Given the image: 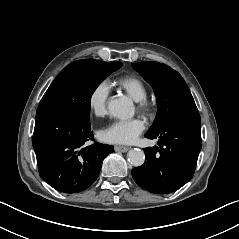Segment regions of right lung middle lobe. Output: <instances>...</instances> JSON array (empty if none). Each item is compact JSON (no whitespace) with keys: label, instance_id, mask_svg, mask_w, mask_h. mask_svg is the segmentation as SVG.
Returning a JSON list of instances; mask_svg holds the SVG:
<instances>
[{"label":"right lung middle lobe","instance_id":"obj_1","mask_svg":"<svg viewBox=\"0 0 239 239\" xmlns=\"http://www.w3.org/2000/svg\"><path fill=\"white\" fill-rule=\"evenodd\" d=\"M121 66V62L106 63L95 59L69 64L44 94L36 114L63 108L74 110L88 119L92 94L108 75Z\"/></svg>","mask_w":239,"mask_h":239}]
</instances>
